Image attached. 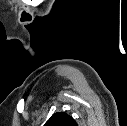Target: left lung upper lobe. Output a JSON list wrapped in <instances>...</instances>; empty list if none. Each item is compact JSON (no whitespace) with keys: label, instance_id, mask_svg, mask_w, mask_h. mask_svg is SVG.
<instances>
[{"label":"left lung upper lobe","instance_id":"left-lung-upper-lobe-1","mask_svg":"<svg viewBox=\"0 0 127 126\" xmlns=\"http://www.w3.org/2000/svg\"><path fill=\"white\" fill-rule=\"evenodd\" d=\"M44 126H77L76 121L67 113H54Z\"/></svg>","mask_w":127,"mask_h":126}]
</instances>
